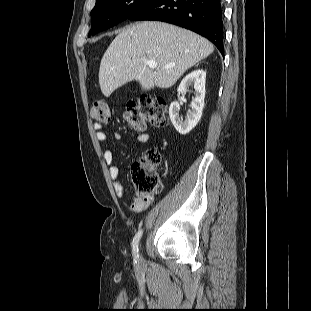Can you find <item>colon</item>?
<instances>
[{
    "label": "colon",
    "mask_w": 311,
    "mask_h": 311,
    "mask_svg": "<svg viewBox=\"0 0 311 311\" xmlns=\"http://www.w3.org/2000/svg\"><path fill=\"white\" fill-rule=\"evenodd\" d=\"M91 117L99 123H108L111 112L105 100H96L91 107ZM166 102L162 97L143 95L127 104L125 121L136 132L145 129L148 123L163 126L166 122ZM161 156L158 151L149 149L144 157L132 166L131 177L135 191L140 196H152L161 189L162 177L157 170Z\"/></svg>",
    "instance_id": "5ec220e1"
}]
</instances>
